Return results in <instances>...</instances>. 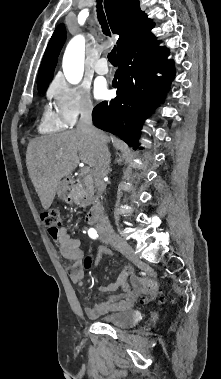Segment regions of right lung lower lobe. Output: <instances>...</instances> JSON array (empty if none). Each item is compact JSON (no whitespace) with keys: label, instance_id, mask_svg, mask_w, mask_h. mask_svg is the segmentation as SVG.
<instances>
[{"label":"right lung lower lobe","instance_id":"98d812e1","mask_svg":"<svg viewBox=\"0 0 221 379\" xmlns=\"http://www.w3.org/2000/svg\"><path fill=\"white\" fill-rule=\"evenodd\" d=\"M150 30L118 53L119 68L113 80L117 97L98 104L92 112L96 127L118 135L134 149L152 104L164 101L175 72L173 61H166L167 50L158 46Z\"/></svg>","mask_w":221,"mask_h":379}]
</instances>
